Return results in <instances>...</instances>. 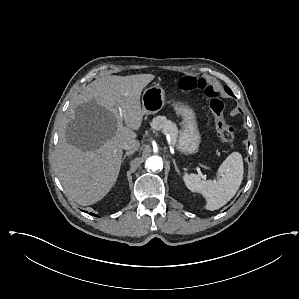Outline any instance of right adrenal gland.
I'll return each mask as SVG.
<instances>
[{"label":"right adrenal gland","mask_w":299,"mask_h":299,"mask_svg":"<svg viewBox=\"0 0 299 299\" xmlns=\"http://www.w3.org/2000/svg\"><path fill=\"white\" fill-rule=\"evenodd\" d=\"M133 154V152H131V151H127L126 153H125V155L123 156V158H122V162L124 161V159L126 158V157H128V156H130V155H132Z\"/></svg>","instance_id":"right-adrenal-gland-1"}]
</instances>
